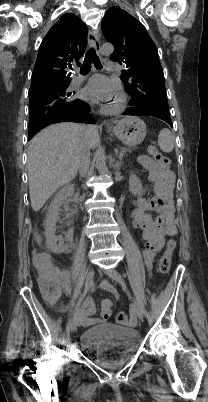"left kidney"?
Segmentation results:
<instances>
[{"label":"left kidney","mask_w":208,"mask_h":402,"mask_svg":"<svg viewBox=\"0 0 208 402\" xmlns=\"http://www.w3.org/2000/svg\"><path fill=\"white\" fill-rule=\"evenodd\" d=\"M129 192H131V194H134V196H137V194H140V192H142V184L139 178H137V176H134L132 172L129 180Z\"/></svg>","instance_id":"obj_1"}]
</instances>
